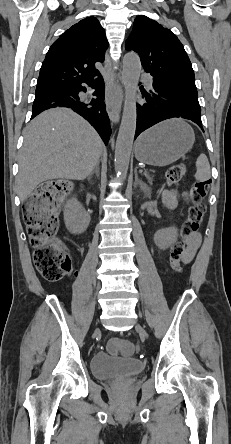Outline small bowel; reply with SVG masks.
I'll return each mask as SVG.
<instances>
[{
  "label": "small bowel",
  "mask_w": 231,
  "mask_h": 444,
  "mask_svg": "<svg viewBox=\"0 0 231 444\" xmlns=\"http://www.w3.org/2000/svg\"><path fill=\"white\" fill-rule=\"evenodd\" d=\"M163 201L170 208H174L178 204V195L175 191H164ZM200 243L201 237L199 234H195L188 240L187 249L183 254V261L185 263H189L193 259L197 249L200 246Z\"/></svg>",
  "instance_id": "obj_1"
}]
</instances>
